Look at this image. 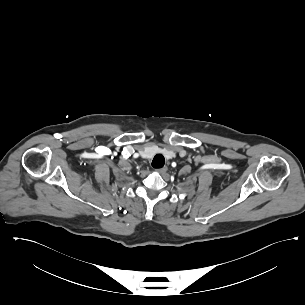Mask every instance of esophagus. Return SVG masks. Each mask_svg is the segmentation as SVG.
<instances>
[{
  "label": "esophagus",
  "instance_id": "esophagus-1",
  "mask_svg": "<svg viewBox=\"0 0 305 305\" xmlns=\"http://www.w3.org/2000/svg\"><path fill=\"white\" fill-rule=\"evenodd\" d=\"M167 169H168V168L165 166V167L160 168V169H155V171H156L157 173L163 174V173H165V172L167 171Z\"/></svg>",
  "mask_w": 305,
  "mask_h": 305
}]
</instances>
